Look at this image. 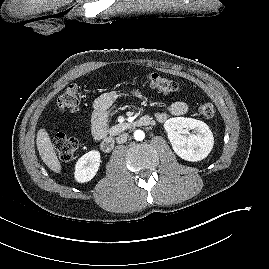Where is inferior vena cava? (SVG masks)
Returning a JSON list of instances; mask_svg holds the SVG:
<instances>
[{"label":"inferior vena cava","instance_id":"inferior-vena-cava-1","mask_svg":"<svg viewBox=\"0 0 269 269\" xmlns=\"http://www.w3.org/2000/svg\"><path fill=\"white\" fill-rule=\"evenodd\" d=\"M128 137H129V135L127 133H123L116 138V141L118 144L125 143L127 141Z\"/></svg>","mask_w":269,"mask_h":269}]
</instances>
